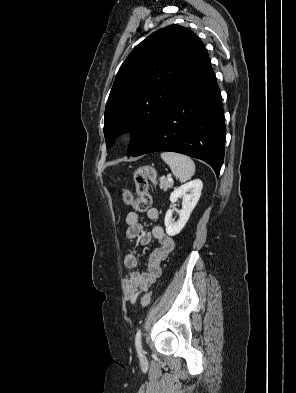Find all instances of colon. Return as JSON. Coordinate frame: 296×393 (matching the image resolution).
<instances>
[{"instance_id":"colon-1","label":"colon","mask_w":296,"mask_h":393,"mask_svg":"<svg viewBox=\"0 0 296 393\" xmlns=\"http://www.w3.org/2000/svg\"><path fill=\"white\" fill-rule=\"evenodd\" d=\"M150 181H156V172L151 166L139 167L134 173V182L136 186L137 196L129 189H122V197L124 202L129 205L135 212H146L151 206V195L149 192ZM151 301V292L143 295L141 305L147 307Z\"/></svg>"}]
</instances>
